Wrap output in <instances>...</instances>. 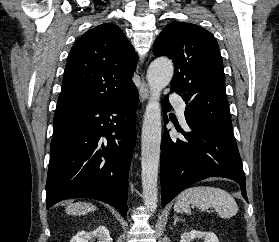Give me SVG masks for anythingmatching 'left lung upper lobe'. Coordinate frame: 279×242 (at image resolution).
Returning a JSON list of instances; mask_svg holds the SVG:
<instances>
[{
  "label": "left lung upper lobe",
  "mask_w": 279,
  "mask_h": 242,
  "mask_svg": "<svg viewBox=\"0 0 279 242\" xmlns=\"http://www.w3.org/2000/svg\"><path fill=\"white\" fill-rule=\"evenodd\" d=\"M153 53L168 56L175 64L171 92L187 104L186 121L233 137L223 62L214 36L195 24L170 23L155 40Z\"/></svg>",
  "instance_id": "left-lung-upper-lobe-1"
}]
</instances>
